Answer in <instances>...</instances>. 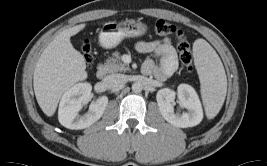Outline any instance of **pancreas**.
<instances>
[{
  "instance_id": "1",
  "label": "pancreas",
  "mask_w": 267,
  "mask_h": 166,
  "mask_svg": "<svg viewBox=\"0 0 267 166\" xmlns=\"http://www.w3.org/2000/svg\"><path fill=\"white\" fill-rule=\"evenodd\" d=\"M102 68L107 73L126 72L130 70L129 65L122 62L119 52H114L112 57L106 60Z\"/></svg>"
}]
</instances>
